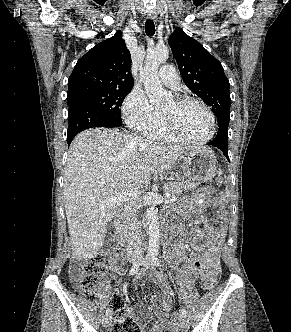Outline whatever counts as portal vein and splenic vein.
Wrapping results in <instances>:
<instances>
[{"label":"portal vein and splenic vein","instance_id":"18ae733b","mask_svg":"<svg viewBox=\"0 0 291 332\" xmlns=\"http://www.w3.org/2000/svg\"><path fill=\"white\" fill-rule=\"evenodd\" d=\"M138 197H139L138 190H136V191H126V192H122V193L116 195L114 198H112L110 200V203L125 202V201H128L130 199H136ZM175 200H176L175 197H173V198L167 199L165 201V203H170V202H173Z\"/></svg>","mask_w":291,"mask_h":332}]
</instances>
